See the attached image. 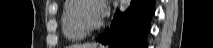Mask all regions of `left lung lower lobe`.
<instances>
[{"label": "left lung lower lobe", "mask_w": 213, "mask_h": 48, "mask_svg": "<svg viewBox=\"0 0 213 48\" xmlns=\"http://www.w3.org/2000/svg\"><path fill=\"white\" fill-rule=\"evenodd\" d=\"M154 14V0H132L124 13L117 12L109 30L98 39L110 48H146V33Z\"/></svg>", "instance_id": "left-lung-lower-lobe-1"}]
</instances>
